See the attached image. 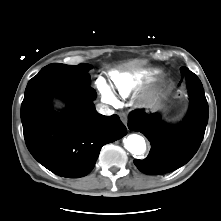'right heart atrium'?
<instances>
[{
	"mask_svg": "<svg viewBox=\"0 0 221 221\" xmlns=\"http://www.w3.org/2000/svg\"><path fill=\"white\" fill-rule=\"evenodd\" d=\"M98 89H99V92L102 96V99L106 103L114 105L117 102V100H116L115 96L113 95L111 89L106 85L105 82L100 80L99 83H98Z\"/></svg>",
	"mask_w": 221,
	"mask_h": 221,
	"instance_id": "1",
	"label": "right heart atrium"
}]
</instances>
